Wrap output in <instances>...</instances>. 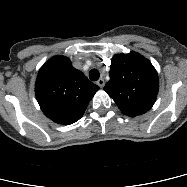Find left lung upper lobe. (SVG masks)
<instances>
[{
  "instance_id": "5c2ea615",
  "label": "left lung upper lobe",
  "mask_w": 187,
  "mask_h": 187,
  "mask_svg": "<svg viewBox=\"0 0 187 187\" xmlns=\"http://www.w3.org/2000/svg\"><path fill=\"white\" fill-rule=\"evenodd\" d=\"M110 80L104 90L121 112L142 115L155 103L159 79L151 62L136 52L116 54L111 60Z\"/></svg>"
}]
</instances>
